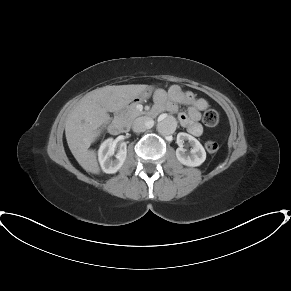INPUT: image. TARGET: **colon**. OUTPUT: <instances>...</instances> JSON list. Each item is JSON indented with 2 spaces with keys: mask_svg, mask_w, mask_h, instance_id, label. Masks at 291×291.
<instances>
[{
  "mask_svg": "<svg viewBox=\"0 0 291 291\" xmlns=\"http://www.w3.org/2000/svg\"><path fill=\"white\" fill-rule=\"evenodd\" d=\"M220 121V116L216 110L209 109L203 113V122L208 127L216 126ZM205 148L209 153H215L219 149V145L214 140L205 143Z\"/></svg>",
  "mask_w": 291,
  "mask_h": 291,
  "instance_id": "colon-1",
  "label": "colon"
}]
</instances>
